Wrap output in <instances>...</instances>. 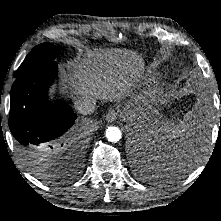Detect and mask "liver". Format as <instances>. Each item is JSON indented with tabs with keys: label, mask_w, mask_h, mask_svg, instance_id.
I'll return each instance as SVG.
<instances>
[{
	"label": "liver",
	"mask_w": 221,
	"mask_h": 221,
	"mask_svg": "<svg viewBox=\"0 0 221 221\" xmlns=\"http://www.w3.org/2000/svg\"><path fill=\"white\" fill-rule=\"evenodd\" d=\"M143 61L136 52L127 49H97L77 57L64 73V82L72 87V94L91 96L99 100L124 98L140 77ZM40 150L42 157L35 163L47 168L51 157Z\"/></svg>",
	"instance_id": "liver-1"
}]
</instances>
